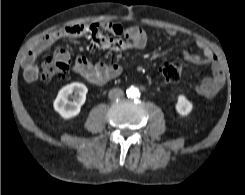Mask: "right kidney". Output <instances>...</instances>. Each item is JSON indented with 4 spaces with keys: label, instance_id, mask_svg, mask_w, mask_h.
Listing matches in <instances>:
<instances>
[{
    "label": "right kidney",
    "instance_id": "1",
    "mask_svg": "<svg viewBox=\"0 0 245 195\" xmlns=\"http://www.w3.org/2000/svg\"><path fill=\"white\" fill-rule=\"evenodd\" d=\"M87 92V87L79 82L62 87L53 104L55 111L64 119L77 116L81 106L85 103ZM69 98H72L73 101H70Z\"/></svg>",
    "mask_w": 245,
    "mask_h": 195
}]
</instances>
